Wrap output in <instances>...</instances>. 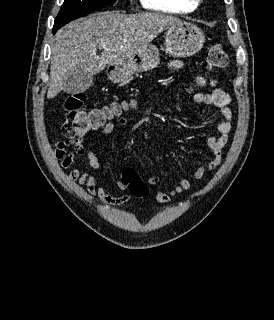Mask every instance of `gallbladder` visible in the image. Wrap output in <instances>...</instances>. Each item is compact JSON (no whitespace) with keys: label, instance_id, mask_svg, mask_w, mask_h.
I'll return each mask as SVG.
<instances>
[{"label":"gallbladder","instance_id":"bac80fb5","mask_svg":"<svg viewBox=\"0 0 274 320\" xmlns=\"http://www.w3.org/2000/svg\"><path fill=\"white\" fill-rule=\"evenodd\" d=\"M94 84L91 72L88 68H69L65 72L64 94L81 95Z\"/></svg>","mask_w":274,"mask_h":320}]
</instances>
